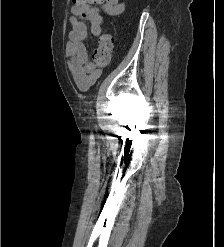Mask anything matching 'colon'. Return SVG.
<instances>
[{
    "instance_id": "5ec220e1",
    "label": "colon",
    "mask_w": 224,
    "mask_h": 247,
    "mask_svg": "<svg viewBox=\"0 0 224 247\" xmlns=\"http://www.w3.org/2000/svg\"><path fill=\"white\" fill-rule=\"evenodd\" d=\"M77 5L80 4L81 0H72ZM113 38L109 34H103L98 42V46L92 55L93 64L96 68H103L107 66L111 60L113 51Z\"/></svg>"
}]
</instances>
